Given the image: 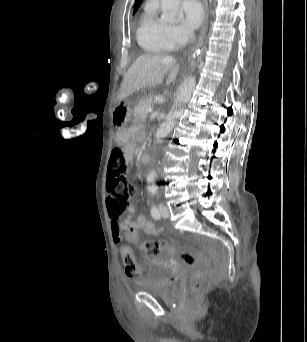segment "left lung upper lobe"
Returning a JSON list of instances; mask_svg holds the SVG:
<instances>
[{
	"mask_svg": "<svg viewBox=\"0 0 307 342\" xmlns=\"http://www.w3.org/2000/svg\"><path fill=\"white\" fill-rule=\"evenodd\" d=\"M142 2V0H138V3L136 5L135 11L137 10L138 6L140 5V3Z\"/></svg>",
	"mask_w": 307,
	"mask_h": 342,
	"instance_id": "obj_1",
	"label": "left lung upper lobe"
}]
</instances>
